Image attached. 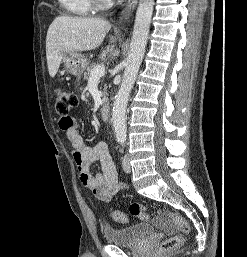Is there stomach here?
Returning <instances> with one entry per match:
<instances>
[{
  "label": "stomach",
  "mask_w": 247,
  "mask_h": 257,
  "mask_svg": "<svg viewBox=\"0 0 247 257\" xmlns=\"http://www.w3.org/2000/svg\"><path fill=\"white\" fill-rule=\"evenodd\" d=\"M64 68L72 75L80 77L88 66V59L79 52L68 51L63 55Z\"/></svg>",
  "instance_id": "0dacf381"
}]
</instances>
